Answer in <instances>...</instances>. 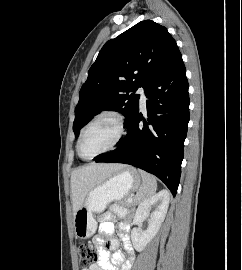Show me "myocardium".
I'll return each mask as SVG.
<instances>
[{
	"label": "myocardium",
	"instance_id": "1",
	"mask_svg": "<svg viewBox=\"0 0 242 270\" xmlns=\"http://www.w3.org/2000/svg\"><path fill=\"white\" fill-rule=\"evenodd\" d=\"M101 120H112L116 123L117 128H118V133L117 136L115 138V140L112 142V144L110 146H108L106 149L100 151L99 153L91 156V157H84L81 153V141L82 138L85 134V132L95 123L101 121ZM126 133V123H125V119L124 117L116 112H112V111H107V112H103L98 114L96 117H94L80 132L78 141H77V153L79 155V157L83 160H91L94 159L100 155H103L105 153H108L110 151H112L113 149H115L119 143L122 141L124 135Z\"/></svg>",
	"mask_w": 242,
	"mask_h": 270
}]
</instances>
